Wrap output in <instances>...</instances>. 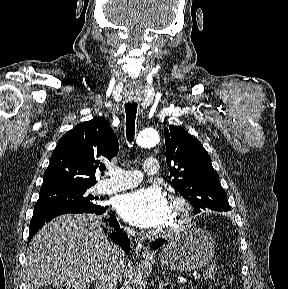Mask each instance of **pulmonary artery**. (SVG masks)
Listing matches in <instances>:
<instances>
[{"instance_id":"pulmonary-artery-1","label":"pulmonary artery","mask_w":288,"mask_h":289,"mask_svg":"<svg viewBox=\"0 0 288 289\" xmlns=\"http://www.w3.org/2000/svg\"><path fill=\"white\" fill-rule=\"evenodd\" d=\"M158 171V159L156 157H148L144 161L143 172L137 170L115 169L111 172L109 179L98 184L97 192L100 194H110L132 188L140 183L144 174L157 175Z\"/></svg>"}]
</instances>
